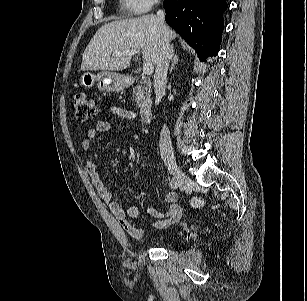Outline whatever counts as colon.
<instances>
[{
  "mask_svg": "<svg viewBox=\"0 0 307 301\" xmlns=\"http://www.w3.org/2000/svg\"><path fill=\"white\" fill-rule=\"evenodd\" d=\"M73 108L75 117L78 121L84 122L96 117L97 104L96 101L85 94H76L73 98ZM193 206L201 207L203 201L200 198H195L192 201Z\"/></svg>",
  "mask_w": 307,
  "mask_h": 301,
  "instance_id": "colon-1",
  "label": "colon"
}]
</instances>
